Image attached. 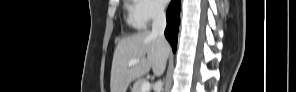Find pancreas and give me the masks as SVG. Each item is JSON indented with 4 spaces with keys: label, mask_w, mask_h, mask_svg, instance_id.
<instances>
[{
    "label": "pancreas",
    "mask_w": 296,
    "mask_h": 92,
    "mask_svg": "<svg viewBox=\"0 0 296 92\" xmlns=\"http://www.w3.org/2000/svg\"><path fill=\"white\" fill-rule=\"evenodd\" d=\"M144 82H146V79H138L133 85L132 92H141V86Z\"/></svg>",
    "instance_id": "pancreas-1"
}]
</instances>
